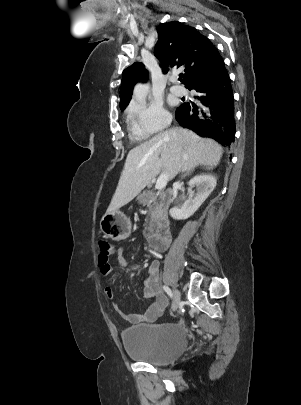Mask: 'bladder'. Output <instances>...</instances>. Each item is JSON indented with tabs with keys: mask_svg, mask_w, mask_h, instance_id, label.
Masks as SVG:
<instances>
[{
	"mask_svg": "<svg viewBox=\"0 0 301 405\" xmlns=\"http://www.w3.org/2000/svg\"><path fill=\"white\" fill-rule=\"evenodd\" d=\"M121 339L130 358L155 365L174 362L188 343L184 328L175 323L128 327L122 331Z\"/></svg>",
	"mask_w": 301,
	"mask_h": 405,
	"instance_id": "31cf9c89",
	"label": "bladder"
}]
</instances>
